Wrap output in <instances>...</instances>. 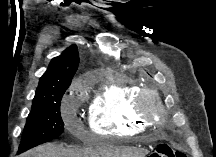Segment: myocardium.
<instances>
[{"label": "myocardium", "mask_w": 216, "mask_h": 157, "mask_svg": "<svg viewBox=\"0 0 216 157\" xmlns=\"http://www.w3.org/2000/svg\"><path fill=\"white\" fill-rule=\"evenodd\" d=\"M135 110L139 116L152 123H158L164 113L160 94L157 90L147 89L138 95Z\"/></svg>", "instance_id": "obj_1"}]
</instances>
